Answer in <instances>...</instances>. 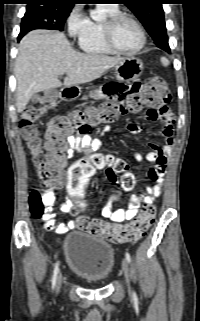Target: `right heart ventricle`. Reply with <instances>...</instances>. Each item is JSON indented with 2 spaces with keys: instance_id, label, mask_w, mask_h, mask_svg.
Returning <instances> with one entry per match:
<instances>
[{
  "instance_id": "1",
  "label": "right heart ventricle",
  "mask_w": 200,
  "mask_h": 321,
  "mask_svg": "<svg viewBox=\"0 0 200 321\" xmlns=\"http://www.w3.org/2000/svg\"><path fill=\"white\" fill-rule=\"evenodd\" d=\"M100 9L107 15L119 12L117 6L102 5ZM78 45L81 50L93 55H111L113 51L106 45L103 36V22L89 20L88 26L79 36Z\"/></svg>"
}]
</instances>
